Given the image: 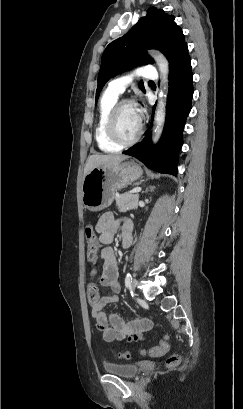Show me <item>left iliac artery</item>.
I'll use <instances>...</instances> for the list:
<instances>
[{"label": "left iliac artery", "mask_w": 243, "mask_h": 409, "mask_svg": "<svg viewBox=\"0 0 243 409\" xmlns=\"http://www.w3.org/2000/svg\"><path fill=\"white\" fill-rule=\"evenodd\" d=\"M132 283V276L130 273H127L126 278H125V285L126 287H130Z\"/></svg>", "instance_id": "obj_1"}]
</instances>
